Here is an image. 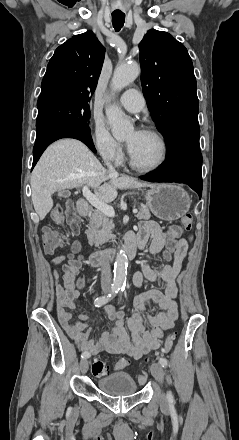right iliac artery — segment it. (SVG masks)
<instances>
[{"instance_id":"obj_1","label":"right iliac artery","mask_w":239,"mask_h":440,"mask_svg":"<svg viewBox=\"0 0 239 440\" xmlns=\"http://www.w3.org/2000/svg\"><path fill=\"white\" fill-rule=\"evenodd\" d=\"M120 288L117 286L112 287V291L110 294H108L107 296H101L95 299L94 301V305L96 307H101L102 305L106 304L110 299H112L118 292H119ZM90 357V354L88 352H83L81 354V358L82 359H86Z\"/></svg>"}]
</instances>
